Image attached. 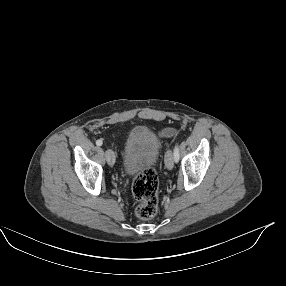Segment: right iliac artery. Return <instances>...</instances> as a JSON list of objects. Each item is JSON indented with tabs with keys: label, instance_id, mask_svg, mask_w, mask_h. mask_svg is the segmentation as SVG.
<instances>
[{
	"label": "right iliac artery",
	"instance_id": "right-iliac-artery-1",
	"mask_svg": "<svg viewBox=\"0 0 286 286\" xmlns=\"http://www.w3.org/2000/svg\"><path fill=\"white\" fill-rule=\"evenodd\" d=\"M96 144H97L98 146H101V145L103 144V142H102V140L99 139V140L96 141Z\"/></svg>",
	"mask_w": 286,
	"mask_h": 286
}]
</instances>
